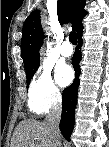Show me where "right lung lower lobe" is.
I'll list each match as a JSON object with an SVG mask.
<instances>
[{
  "label": "right lung lower lobe",
  "instance_id": "98d812e1",
  "mask_svg": "<svg viewBox=\"0 0 109 147\" xmlns=\"http://www.w3.org/2000/svg\"><path fill=\"white\" fill-rule=\"evenodd\" d=\"M82 29L77 33L79 44L72 58V64L77 75L73 84L67 87L63 91L62 95V116L60 121V131L63 137L68 141H70V136L74 127V112L77 104V92L79 87L78 77L80 75L79 61L81 59V52L79 48L82 44Z\"/></svg>",
  "mask_w": 109,
  "mask_h": 147
}]
</instances>
